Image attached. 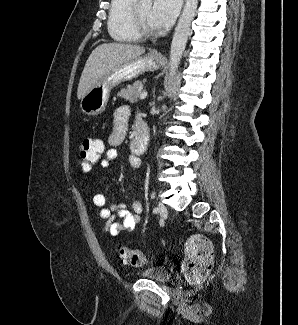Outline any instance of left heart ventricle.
<instances>
[{
  "label": "left heart ventricle",
  "mask_w": 298,
  "mask_h": 325,
  "mask_svg": "<svg viewBox=\"0 0 298 325\" xmlns=\"http://www.w3.org/2000/svg\"><path fill=\"white\" fill-rule=\"evenodd\" d=\"M152 3L150 1H142L139 7V15L143 25L150 31L159 32V27L155 24L152 18Z\"/></svg>",
  "instance_id": "1"
}]
</instances>
